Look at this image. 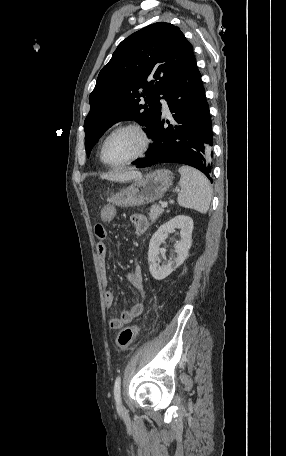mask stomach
Wrapping results in <instances>:
<instances>
[{
    "label": "stomach",
    "instance_id": "stomach-1",
    "mask_svg": "<svg viewBox=\"0 0 286 456\" xmlns=\"http://www.w3.org/2000/svg\"><path fill=\"white\" fill-rule=\"evenodd\" d=\"M173 174L166 169L149 172L126 189L112 195L109 201L120 207H136L160 199L172 184Z\"/></svg>",
    "mask_w": 286,
    "mask_h": 456
}]
</instances>
